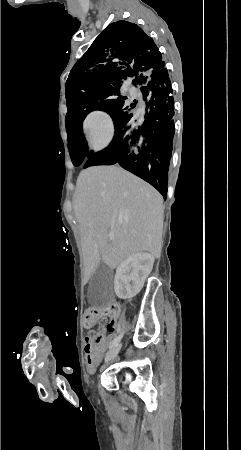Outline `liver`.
Wrapping results in <instances>:
<instances>
[{
    "label": "liver",
    "mask_w": 241,
    "mask_h": 450,
    "mask_svg": "<svg viewBox=\"0 0 241 450\" xmlns=\"http://www.w3.org/2000/svg\"><path fill=\"white\" fill-rule=\"evenodd\" d=\"M162 204L155 188L122 168L93 166L82 170L76 182L74 212L81 232L86 280L101 262L114 270L135 252H150L160 258Z\"/></svg>",
    "instance_id": "obj_1"
}]
</instances>
